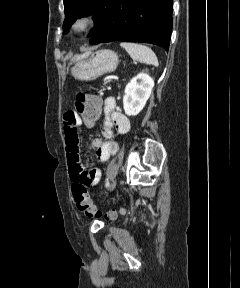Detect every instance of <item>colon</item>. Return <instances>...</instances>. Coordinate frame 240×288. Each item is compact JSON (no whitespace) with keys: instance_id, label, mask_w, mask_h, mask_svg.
<instances>
[{"instance_id":"1","label":"colon","mask_w":240,"mask_h":288,"mask_svg":"<svg viewBox=\"0 0 240 288\" xmlns=\"http://www.w3.org/2000/svg\"><path fill=\"white\" fill-rule=\"evenodd\" d=\"M75 108L86 124H94L100 117L101 99L95 94L81 91L76 95ZM72 195L80 212L88 217H99L102 215L93 204L91 196L85 186L82 184H73ZM105 216L107 218H115L116 213L110 211Z\"/></svg>"}]
</instances>
